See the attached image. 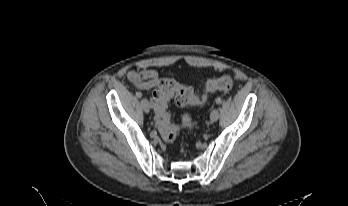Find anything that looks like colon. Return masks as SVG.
Instances as JSON below:
<instances>
[{"label":"colon","mask_w":348,"mask_h":206,"mask_svg":"<svg viewBox=\"0 0 348 206\" xmlns=\"http://www.w3.org/2000/svg\"><path fill=\"white\" fill-rule=\"evenodd\" d=\"M233 86V79L230 75H222L218 78L209 80L205 89L207 93L215 91H229ZM174 97L179 106L198 105L202 98L198 97L193 88L187 85H181L172 79H163L152 93L151 105L155 112V124L162 136L167 142H173L180 128L192 127V118L185 114L182 117L181 126L174 125L171 122V116L168 111V103Z\"/></svg>","instance_id":"5ec220e1"}]
</instances>
